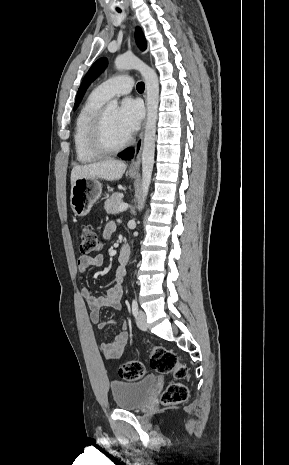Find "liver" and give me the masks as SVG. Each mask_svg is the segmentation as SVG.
Listing matches in <instances>:
<instances>
[{"instance_id": "liver-1", "label": "liver", "mask_w": 289, "mask_h": 465, "mask_svg": "<svg viewBox=\"0 0 289 465\" xmlns=\"http://www.w3.org/2000/svg\"><path fill=\"white\" fill-rule=\"evenodd\" d=\"M126 164L122 161L109 159L86 165H76L71 171V185L79 178H100L108 181L119 180Z\"/></svg>"}]
</instances>
